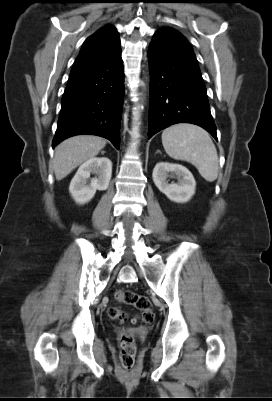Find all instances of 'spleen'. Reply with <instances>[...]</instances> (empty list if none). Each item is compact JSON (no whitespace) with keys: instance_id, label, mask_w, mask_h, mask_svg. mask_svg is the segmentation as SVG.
<instances>
[{"instance_id":"1","label":"spleen","mask_w":272,"mask_h":401,"mask_svg":"<svg viewBox=\"0 0 272 401\" xmlns=\"http://www.w3.org/2000/svg\"><path fill=\"white\" fill-rule=\"evenodd\" d=\"M162 144L171 158L191 163L206 181L217 179V150L204 129L191 124L173 125L163 131Z\"/></svg>"}]
</instances>
